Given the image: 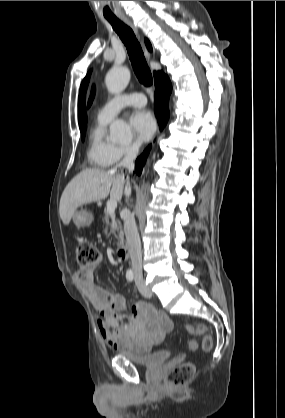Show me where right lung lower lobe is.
<instances>
[{
	"label": "right lung lower lobe",
	"mask_w": 285,
	"mask_h": 418,
	"mask_svg": "<svg viewBox=\"0 0 285 418\" xmlns=\"http://www.w3.org/2000/svg\"><path fill=\"white\" fill-rule=\"evenodd\" d=\"M155 114L162 130L166 125L169 118V97L172 92L171 82L164 73L159 76L157 83L155 84ZM151 145L148 146L145 151L137 158L135 163V171L138 175L141 174L142 168L146 162L147 156L150 152Z\"/></svg>",
	"instance_id": "98d812e1"
}]
</instances>
